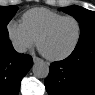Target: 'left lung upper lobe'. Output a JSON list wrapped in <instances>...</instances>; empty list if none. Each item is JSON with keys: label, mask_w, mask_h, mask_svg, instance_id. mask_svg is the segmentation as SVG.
Returning <instances> with one entry per match:
<instances>
[{"label": "left lung upper lobe", "mask_w": 95, "mask_h": 95, "mask_svg": "<svg viewBox=\"0 0 95 95\" xmlns=\"http://www.w3.org/2000/svg\"><path fill=\"white\" fill-rule=\"evenodd\" d=\"M62 11L74 16L80 23L81 35L78 44L95 38V12L79 6L62 8ZM77 44V45H78Z\"/></svg>", "instance_id": "obj_1"}]
</instances>
